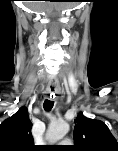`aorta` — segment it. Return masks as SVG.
<instances>
[{"mask_svg":"<svg viewBox=\"0 0 118 151\" xmlns=\"http://www.w3.org/2000/svg\"><path fill=\"white\" fill-rule=\"evenodd\" d=\"M69 124L65 121H56L48 127L46 139L50 143H56L61 140L69 131Z\"/></svg>","mask_w":118,"mask_h":151,"instance_id":"762f6f07","label":"aorta"}]
</instances>
